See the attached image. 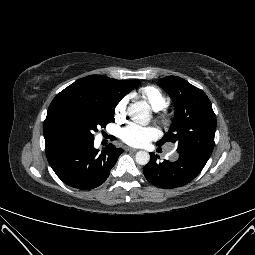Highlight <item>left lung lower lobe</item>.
<instances>
[{
    "label": "left lung lower lobe",
    "mask_w": 255,
    "mask_h": 255,
    "mask_svg": "<svg viewBox=\"0 0 255 255\" xmlns=\"http://www.w3.org/2000/svg\"><path fill=\"white\" fill-rule=\"evenodd\" d=\"M149 163L144 167L146 179L159 188L181 187L192 181L204 168L209 158L191 153H179L175 162H157V155L150 153Z\"/></svg>",
    "instance_id": "1"
}]
</instances>
